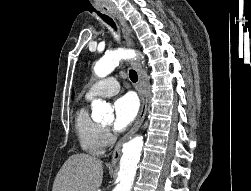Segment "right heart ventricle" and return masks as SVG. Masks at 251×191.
<instances>
[{
    "mask_svg": "<svg viewBox=\"0 0 251 191\" xmlns=\"http://www.w3.org/2000/svg\"><path fill=\"white\" fill-rule=\"evenodd\" d=\"M75 132L82 151L91 155H101L104 152L103 126L89 117L84 105L76 110Z\"/></svg>",
    "mask_w": 251,
    "mask_h": 191,
    "instance_id": "e07e8e85",
    "label": "right heart ventricle"
}]
</instances>
